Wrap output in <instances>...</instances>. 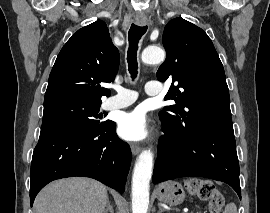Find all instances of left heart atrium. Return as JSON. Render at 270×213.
<instances>
[{
    "label": "left heart atrium",
    "instance_id": "1",
    "mask_svg": "<svg viewBox=\"0 0 270 213\" xmlns=\"http://www.w3.org/2000/svg\"><path fill=\"white\" fill-rule=\"evenodd\" d=\"M118 132L127 141H142L149 134L148 123L144 112L135 109L124 113L118 121Z\"/></svg>",
    "mask_w": 270,
    "mask_h": 213
}]
</instances>
